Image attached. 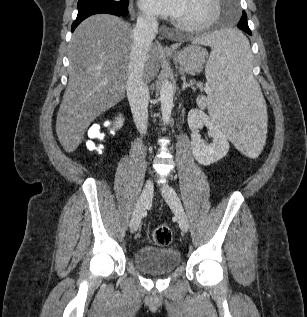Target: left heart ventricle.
<instances>
[{
    "instance_id": "1",
    "label": "left heart ventricle",
    "mask_w": 307,
    "mask_h": 317,
    "mask_svg": "<svg viewBox=\"0 0 307 317\" xmlns=\"http://www.w3.org/2000/svg\"><path fill=\"white\" fill-rule=\"evenodd\" d=\"M213 7L208 0H187L184 10L177 21L182 23H197L205 20L212 13Z\"/></svg>"
}]
</instances>
